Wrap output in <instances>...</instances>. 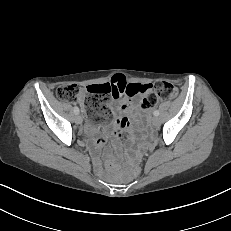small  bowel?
<instances>
[{"label": "small bowel", "instance_id": "c3829d8e", "mask_svg": "<svg viewBox=\"0 0 231 231\" xmlns=\"http://www.w3.org/2000/svg\"><path fill=\"white\" fill-rule=\"evenodd\" d=\"M109 84L116 88V92L113 94L112 101L110 102V108L115 113L116 118L111 125L109 134L117 143L124 130H131L133 128V119L140 108L139 101L134 99V97L141 93H131L130 88L142 85L128 82L126 77L122 74L112 76ZM143 85L149 88V84ZM84 97L85 95L82 94L81 101L78 102L81 106ZM86 131L93 137L96 148H100L106 143L105 134L100 133L95 125L88 123L86 125Z\"/></svg>", "mask_w": 231, "mask_h": 231}]
</instances>
